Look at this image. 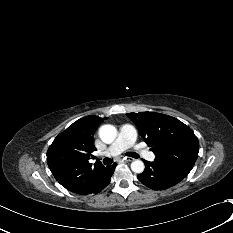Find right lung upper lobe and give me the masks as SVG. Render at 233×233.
<instances>
[{
	"label": "right lung upper lobe",
	"mask_w": 233,
	"mask_h": 233,
	"mask_svg": "<svg viewBox=\"0 0 233 233\" xmlns=\"http://www.w3.org/2000/svg\"><path fill=\"white\" fill-rule=\"evenodd\" d=\"M104 119L86 116L59 134L47 151V163L55 179L67 190L85 195L106 167L89 163L96 150L93 134Z\"/></svg>",
	"instance_id": "right-lung-upper-lobe-1"
}]
</instances>
